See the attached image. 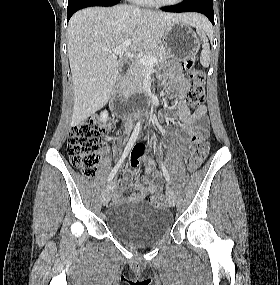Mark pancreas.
Returning a JSON list of instances; mask_svg holds the SVG:
<instances>
[{
  "label": "pancreas",
  "mask_w": 280,
  "mask_h": 285,
  "mask_svg": "<svg viewBox=\"0 0 280 285\" xmlns=\"http://www.w3.org/2000/svg\"><path fill=\"white\" fill-rule=\"evenodd\" d=\"M144 56H156V64L167 60L170 53L163 47L157 46L154 49L147 50ZM147 66L143 65L140 61H134L130 73L124 80L125 94H133L142 92L143 80Z\"/></svg>",
  "instance_id": "pancreas-1"
}]
</instances>
